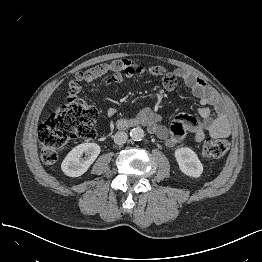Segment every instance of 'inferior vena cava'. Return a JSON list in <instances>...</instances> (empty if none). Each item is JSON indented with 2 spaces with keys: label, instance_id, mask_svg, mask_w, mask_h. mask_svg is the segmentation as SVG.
I'll return each instance as SVG.
<instances>
[{
  "label": "inferior vena cava",
  "instance_id": "obj_1",
  "mask_svg": "<svg viewBox=\"0 0 262 262\" xmlns=\"http://www.w3.org/2000/svg\"><path fill=\"white\" fill-rule=\"evenodd\" d=\"M128 139V135L127 133L123 132V131H118L115 135H114V142L117 145H122L124 144Z\"/></svg>",
  "mask_w": 262,
  "mask_h": 262
}]
</instances>
